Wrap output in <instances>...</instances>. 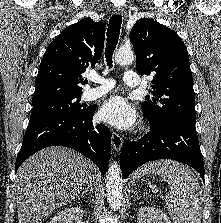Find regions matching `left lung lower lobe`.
<instances>
[{
    "mask_svg": "<svg viewBox=\"0 0 221 223\" xmlns=\"http://www.w3.org/2000/svg\"><path fill=\"white\" fill-rule=\"evenodd\" d=\"M173 159L197 170L204 180V163L200 151L195 119L175 117L161 126L150 124V131L137 141L126 140L120 155L122 175L127 178L142 164Z\"/></svg>",
    "mask_w": 221,
    "mask_h": 223,
    "instance_id": "obj_1",
    "label": "left lung lower lobe"
}]
</instances>
